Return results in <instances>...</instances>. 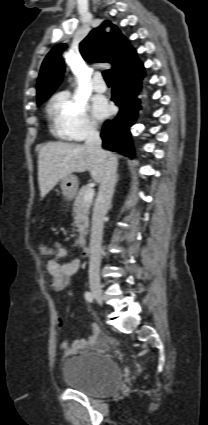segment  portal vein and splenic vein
<instances>
[{
	"instance_id": "portal-vein-and-splenic-vein-1",
	"label": "portal vein and splenic vein",
	"mask_w": 208,
	"mask_h": 425,
	"mask_svg": "<svg viewBox=\"0 0 208 425\" xmlns=\"http://www.w3.org/2000/svg\"><path fill=\"white\" fill-rule=\"evenodd\" d=\"M94 197V189L90 188L86 191L85 195H84V200L85 201H90L92 200Z\"/></svg>"
}]
</instances>
